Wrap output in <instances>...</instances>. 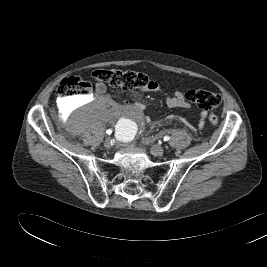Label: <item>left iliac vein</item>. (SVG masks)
Masks as SVG:
<instances>
[{"instance_id":"1","label":"left iliac vein","mask_w":267,"mask_h":267,"mask_svg":"<svg viewBox=\"0 0 267 267\" xmlns=\"http://www.w3.org/2000/svg\"><path fill=\"white\" fill-rule=\"evenodd\" d=\"M151 154L154 156H161L164 153V148L159 145H152L150 148Z\"/></svg>"}]
</instances>
